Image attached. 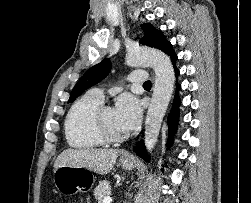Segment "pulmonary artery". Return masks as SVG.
Instances as JSON below:
<instances>
[{"mask_svg": "<svg viewBox=\"0 0 251 203\" xmlns=\"http://www.w3.org/2000/svg\"><path fill=\"white\" fill-rule=\"evenodd\" d=\"M148 75L143 72V71H134L132 72L129 77L128 80L131 83H144L147 81ZM89 93L101 100L104 99V93L103 90L101 88H93L89 91Z\"/></svg>", "mask_w": 251, "mask_h": 203, "instance_id": "1", "label": "pulmonary artery"}]
</instances>
